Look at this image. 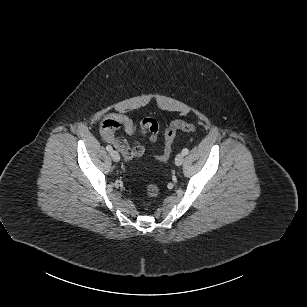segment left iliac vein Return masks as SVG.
I'll return each instance as SVG.
<instances>
[{"instance_id":"left-iliac-vein-1","label":"left iliac vein","mask_w":307,"mask_h":307,"mask_svg":"<svg viewBox=\"0 0 307 307\" xmlns=\"http://www.w3.org/2000/svg\"><path fill=\"white\" fill-rule=\"evenodd\" d=\"M183 161H184V154L183 153L177 154V156L175 158V164L177 166H180V165H182Z\"/></svg>"}]
</instances>
